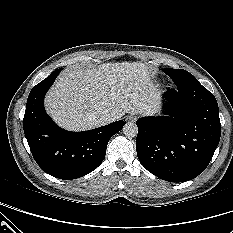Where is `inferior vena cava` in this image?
<instances>
[{"instance_id":"inferior-vena-cava-1","label":"inferior vena cava","mask_w":233,"mask_h":233,"mask_svg":"<svg viewBox=\"0 0 233 233\" xmlns=\"http://www.w3.org/2000/svg\"><path fill=\"white\" fill-rule=\"evenodd\" d=\"M97 122L100 125H106V124L112 122V119L108 114H104V115H101L100 117H98Z\"/></svg>"}]
</instances>
